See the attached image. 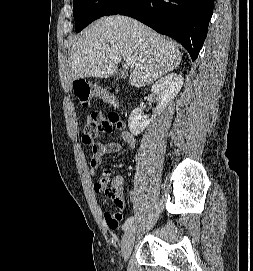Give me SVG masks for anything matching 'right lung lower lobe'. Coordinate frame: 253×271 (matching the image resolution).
Listing matches in <instances>:
<instances>
[{"mask_svg":"<svg viewBox=\"0 0 253 271\" xmlns=\"http://www.w3.org/2000/svg\"><path fill=\"white\" fill-rule=\"evenodd\" d=\"M214 0H125L116 14L130 16L178 40L194 61L204 43Z\"/></svg>","mask_w":253,"mask_h":271,"instance_id":"obj_1","label":"right lung lower lobe"}]
</instances>
